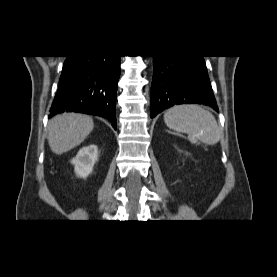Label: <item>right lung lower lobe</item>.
Returning <instances> with one entry per match:
<instances>
[{"label":"right lung lower lobe","mask_w":277,"mask_h":277,"mask_svg":"<svg viewBox=\"0 0 277 277\" xmlns=\"http://www.w3.org/2000/svg\"><path fill=\"white\" fill-rule=\"evenodd\" d=\"M120 56H67L50 116L81 112L107 118L116 129Z\"/></svg>","instance_id":"98d812e1"}]
</instances>
